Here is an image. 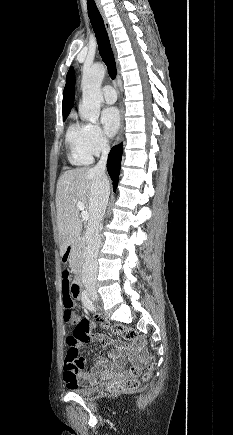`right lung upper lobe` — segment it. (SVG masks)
I'll return each instance as SVG.
<instances>
[{"label":"right lung upper lobe","instance_id":"right-lung-upper-lobe-1","mask_svg":"<svg viewBox=\"0 0 233 435\" xmlns=\"http://www.w3.org/2000/svg\"><path fill=\"white\" fill-rule=\"evenodd\" d=\"M75 97V75L71 67L66 76V85L63 92L62 111L63 116L68 115L72 109Z\"/></svg>","mask_w":233,"mask_h":435}]
</instances>
